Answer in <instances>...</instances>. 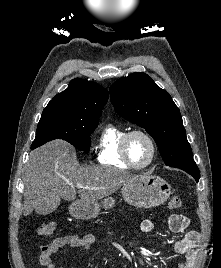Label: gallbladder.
<instances>
[{"instance_id": "obj_1", "label": "gallbladder", "mask_w": 221, "mask_h": 268, "mask_svg": "<svg viewBox=\"0 0 221 268\" xmlns=\"http://www.w3.org/2000/svg\"><path fill=\"white\" fill-rule=\"evenodd\" d=\"M36 213H40V216H45L54 212L59 204V199H36Z\"/></svg>"}]
</instances>
